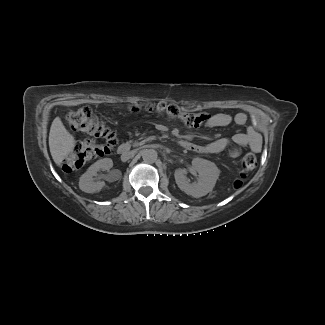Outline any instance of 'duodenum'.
I'll list each match as a JSON object with an SVG mask.
<instances>
[{
    "mask_svg": "<svg viewBox=\"0 0 325 325\" xmlns=\"http://www.w3.org/2000/svg\"><path fill=\"white\" fill-rule=\"evenodd\" d=\"M179 145L183 148H190L192 147V144L189 143V142H186V141H182L179 143ZM130 145L129 144H121L119 147H118V153L119 155L121 156H124V155H127L129 152H130Z\"/></svg>",
    "mask_w": 325,
    "mask_h": 325,
    "instance_id": "410a0bca",
    "label": "duodenum"
}]
</instances>
